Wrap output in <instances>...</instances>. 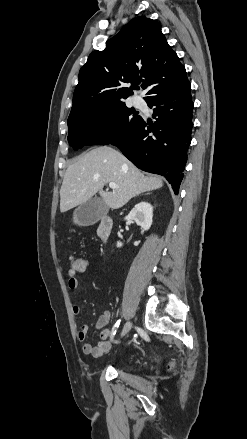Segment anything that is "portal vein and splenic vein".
I'll list each match as a JSON object with an SVG mask.
<instances>
[{"mask_svg": "<svg viewBox=\"0 0 247 439\" xmlns=\"http://www.w3.org/2000/svg\"><path fill=\"white\" fill-rule=\"evenodd\" d=\"M109 187H110L111 189H116V188H118V186H117L114 182H110V183H109Z\"/></svg>", "mask_w": 247, "mask_h": 439, "instance_id": "obj_1", "label": "portal vein and splenic vein"}]
</instances>
